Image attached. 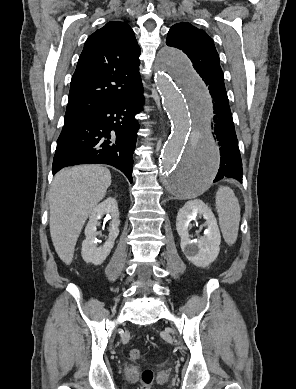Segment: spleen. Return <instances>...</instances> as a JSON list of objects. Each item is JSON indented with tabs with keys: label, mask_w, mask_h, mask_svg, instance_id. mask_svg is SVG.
<instances>
[{
	"label": "spleen",
	"mask_w": 296,
	"mask_h": 389,
	"mask_svg": "<svg viewBox=\"0 0 296 389\" xmlns=\"http://www.w3.org/2000/svg\"><path fill=\"white\" fill-rule=\"evenodd\" d=\"M216 209L219 225L227 244L235 243L240 222V205L234 191L226 186L220 187L216 193Z\"/></svg>",
	"instance_id": "3e777b00"
}]
</instances>
